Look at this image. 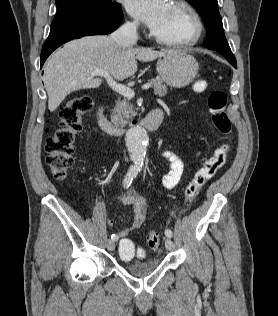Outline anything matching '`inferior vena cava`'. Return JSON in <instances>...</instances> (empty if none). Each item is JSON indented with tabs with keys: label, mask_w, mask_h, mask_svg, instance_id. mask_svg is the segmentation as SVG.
Here are the masks:
<instances>
[{
	"label": "inferior vena cava",
	"mask_w": 278,
	"mask_h": 316,
	"mask_svg": "<svg viewBox=\"0 0 278 316\" xmlns=\"http://www.w3.org/2000/svg\"><path fill=\"white\" fill-rule=\"evenodd\" d=\"M111 38L119 46H132L138 40L137 23L127 22L112 33Z\"/></svg>",
	"instance_id": "1"
}]
</instances>
